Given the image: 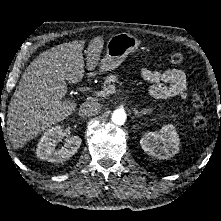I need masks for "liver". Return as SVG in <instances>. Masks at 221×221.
I'll list each match as a JSON object with an SVG mask.
<instances>
[{
    "label": "liver",
    "mask_w": 221,
    "mask_h": 221,
    "mask_svg": "<svg viewBox=\"0 0 221 221\" xmlns=\"http://www.w3.org/2000/svg\"><path fill=\"white\" fill-rule=\"evenodd\" d=\"M84 44L83 40H75L57 45L41 53L27 67L8 107L7 134L13 148L23 147L73 114L77 104L65 100L66 82L76 84L84 76ZM103 46L102 36L89 43L86 55L89 71L98 65Z\"/></svg>",
    "instance_id": "6515ba94"
}]
</instances>
